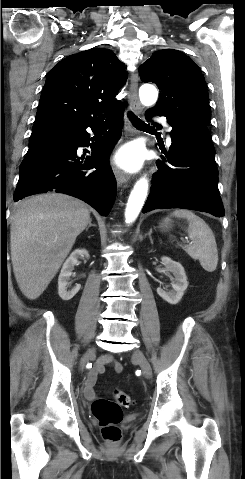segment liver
I'll return each mask as SVG.
<instances>
[{"label":"liver","mask_w":245,"mask_h":479,"mask_svg":"<svg viewBox=\"0 0 245 479\" xmlns=\"http://www.w3.org/2000/svg\"><path fill=\"white\" fill-rule=\"evenodd\" d=\"M90 222L86 205L64 194L36 195L16 205L10 227L11 261L28 299L44 292Z\"/></svg>","instance_id":"1"}]
</instances>
